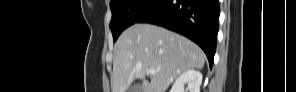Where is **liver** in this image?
<instances>
[{"instance_id":"liver-1","label":"liver","mask_w":296,"mask_h":92,"mask_svg":"<svg viewBox=\"0 0 296 92\" xmlns=\"http://www.w3.org/2000/svg\"><path fill=\"white\" fill-rule=\"evenodd\" d=\"M112 92H126L135 79L142 81V92H165L182 72L202 69L205 53L189 39L151 24H134L115 44ZM149 69H155L151 81Z\"/></svg>"}]
</instances>
